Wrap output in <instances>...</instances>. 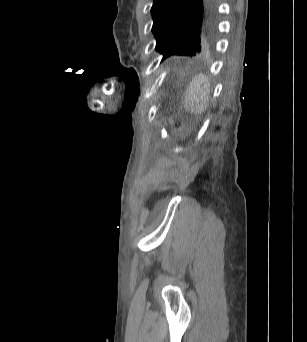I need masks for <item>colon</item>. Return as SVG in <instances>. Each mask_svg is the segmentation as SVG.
I'll return each mask as SVG.
<instances>
[{
	"mask_svg": "<svg viewBox=\"0 0 307 342\" xmlns=\"http://www.w3.org/2000/svg\"><path fill=\"white\" fill-rule=\"evenodd\" d=\"M161 92H162L163 94H166V93L168 92V89H167L166 87H163V88L161 89ZM172 126H173L175 129H179V128H180V124H179L177 121L172 122Z\"/></svg>",
	"mask_w": 307,
	"mask_h": 342,
	"instance_id": "obj_1",
	"label": "colon"
}]
</instances>
